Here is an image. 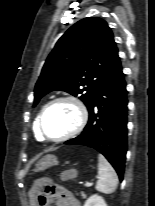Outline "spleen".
I'll list each match as a JSON object with an SVG mask.
<instances>
[{"label": "spleen", "instance_id": "3e777b00", "mask_svg": "<svg viewBox=\"0 0 155 206\" xmlns=\"http://www.w3.org/2000/svg\"><path fill=\"white\" fill-rule=\"evenodd\" d=\"M98 162L99 179L97 181L95 189L105 194H112L117 189V174L103 155L98 156Z\"/></svg>", "mask_w": 155, "mask_h": 206}]
</instances>
